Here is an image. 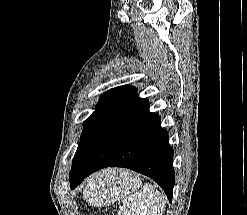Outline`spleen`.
Wrapping results in <instances>:
<instances>
[{
	"instance_id": "1",
	"label": "spleen",
	"mask_w": 247,
	"mask_h": 215,
	"mask_svg": "<svg viewBox=\"0 0 247 215\" xmlns=\"http://www.w3.org/2000/svg\"><path fill=\"white\" fill-rule=\"evenodd\" d=\"M165 204V196L152 184L146 183L143 192L136 189L126 192L118 215H163Z\"/></svg>"
}]
</instances>
